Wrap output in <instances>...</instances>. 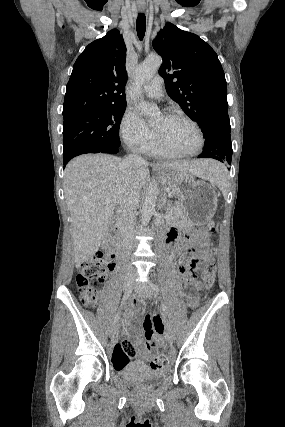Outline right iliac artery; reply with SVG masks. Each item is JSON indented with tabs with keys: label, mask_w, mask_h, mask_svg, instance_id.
Here are the masks:
<instances>
[{
	"label": "right iliac artery",
	"mask_w": 285,
	"mask_h": 427,
	"mask_svg": "<svg viewBox=\"0 0 285 427\" xmlns=\"http://www.w3.org/2000/svg\"><path fill=\"white\" fill-rule=\"evenodd\" d=\"M130 295H131V290H130V291H127V292L123 295L122 302H121V306H122V305L125 303V301L130 297ZM118 320H119V309H118L117 314H116V315H115V317H114L113 324H116V323L118 322Z\"/></svg>",
	"instance_id": "obj_1"
}]
</instances>
